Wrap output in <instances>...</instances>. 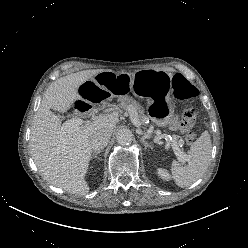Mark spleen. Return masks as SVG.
<instances>
[{
	"label": "spleen",
	"mask_w": 248,
	"mask_h": 248,
	"mask_svg": "<svg viewBox=\"0 0 248 248\" xmlns=\"http://www.w3.org/2000/svg\"><path fill=\"white\" fill-rule=\"evenodd\" d=\"M211 152L210 135L204 131L192 144L190 154L183 159V162H188L187 165H182L180 160L172 161L171 173L176 185L184 188L200 179L209 166Z\"/></svg>",
	"instance_id": "spleen-1"
}]
</instances>
